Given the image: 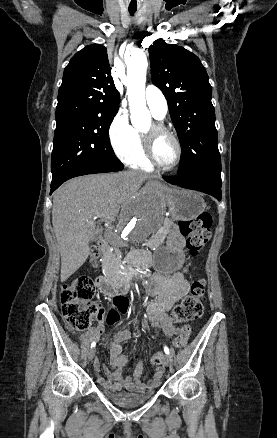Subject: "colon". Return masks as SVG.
I'll return each instance as SVG.
<instances>
[{"mask_svg":"<svg viewBox=\"0 0 277 438\" xmlns=\"http://www.w3.org/2000/svg\"><path fill=\"white\" fill-rule=\"evenodd\" d=\"M211 216L209 213H201L197 220H181L179 228L182 236L186 239L185 247L192 256L198 255L210 239ZM100 248L95 246L91 248L89 259L97 261L100 256ZM95 287L90 277H75L70 283L65 284L61 291V310L63 317L69 325L75 330H85L97 328L99 322L95 319L103 318L104 313L98 310V306L93 301ZM205 300V280L196 279L191 285L189 294L183 301L176 306L175 313L179 320L183 322L191 321L201 316L204 312ZM191 334L189 325H184L180 333L174 340L177 348L185 346ZM164 356L162 353H155L152 357V363L155 365L162 364Z\"/></svg>","mask_w":277,"mask_h":438,"instance_id":"5ec220e1","label":"colon"}]
</instances>
